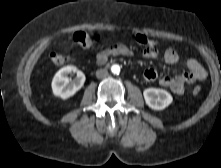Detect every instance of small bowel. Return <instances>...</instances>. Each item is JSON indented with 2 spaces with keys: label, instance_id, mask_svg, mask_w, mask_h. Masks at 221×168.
Returning a JSON list of instances; mask_svg holds the SVG:
<instances>
[{
  "label": "small bowel",
  "instance_id": "1",
  "mask_svg": "<svg viewBox=\"0 0 221 168\" xmlns=\"http://www.w3.org/2000/svg\"><path fill=\"white\" fill-rule=\"evenodd\" d=\"M118 55L129 57L133 55V51L130 47L123 43H116L97 53L96 61L99 64H104L110 57ZM143 55L146 58H156L159 55V52L156 47L153 46L150 48H145ZM163 58L167 63H176L179 60V55L174 49L168 48L164 51ZM186 66L188 71L181 76H162L158 79L157 71L150 68L145 70L143 77L148 82H153L158 79L159 84L162 87L169 89L176 95H182L186 91L189 84H192L195 81L203 80L207 75L206 70L196 59H187Z\"/></svg>",
  "mask_w": 221,
  "mask_h": 168
}]
</instances>
